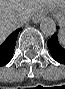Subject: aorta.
Here are the masks:
<instances>
[{
  "mask_svg": "<svg viewBox=\"0 0 65 89\" xmlns=\"http://www.w3.org/2000/svg\"><path fill=\"white\" fill-rule=\"evenodd\" d=\"M40 30L46 36H52L56 31V23L50 17H44L40 21Z\"/></svg>",
  "mask_w": 65,
  "mask_h": 89,
  "instance_id": "1",
  "label": "aorta"
}]
</instances>
